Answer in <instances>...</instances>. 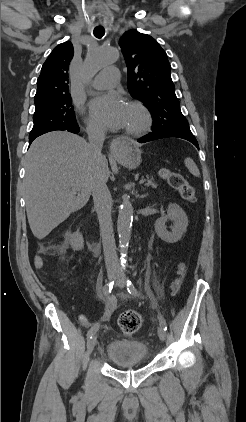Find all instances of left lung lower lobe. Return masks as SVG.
<instances>
[{
  "mask_svg": "<svg viewBox=\"0 0 246 422\" xmlns=\"http://www.w3.org/2000/svg\"><path fill=\"white\" fill-rule=\"evenodd\" d=\"M167 137H177V138L188 140L199 149L198 142L195 139L190 129H172V130H161V131L150 132L149 134L138 139V142L145 143L152 140H157V139L167 138Z\"/></svg>",
  "mask_w": 246,
  "mask_h": 422,
  "instance_id": "obj_1",
  "label": "left lung lower lobe"
}]
</instances>
